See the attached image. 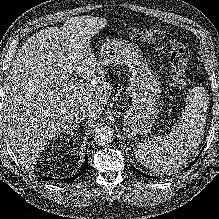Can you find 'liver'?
I'll return each instance as SVG.
<instances>
[{"instance_id":"liver-1","label":"liver","mask_w":219,"mask_h":219,"mask_svg":"<svg viewBox=\"0 0 219 219\" xmlns=\"http://www.w3.org/2000/svg\"><path fill=\"white\" fill-rule=\"evenodd\" d=\"M106 24L104 18L71 17L33 34L16 54L4 84L3 125L27 165L72 126L78 106L92 112V123L108 103L111 86L89 44ZM74 71L86 82L67 84Z\"/></svg>"}]
</instances>
